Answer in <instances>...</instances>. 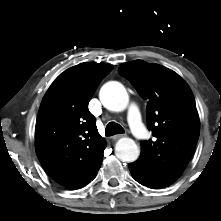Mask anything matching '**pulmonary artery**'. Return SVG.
<instances>
[{"mask_svg": "<svg viewBox=\"0 0 221 221\" xmlns=\"http://www.w3.org/2000/svg\"><path fill=\"white\" fill-rule=\"evenodd\" d=\"M129 123L133 134L137 138L144 139L146 137V130L141 123L139 109L135 104H132L129 108Z\"/></svg>", "mask_w": 221, "mask_h": 221, "instance_id": "obj_1", "label": "pulmonary artery"}]
</instances>
